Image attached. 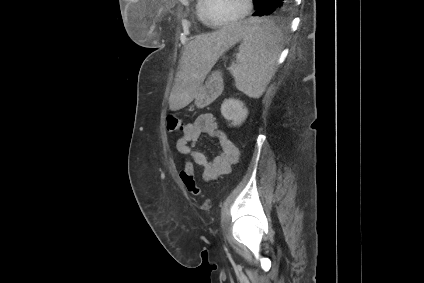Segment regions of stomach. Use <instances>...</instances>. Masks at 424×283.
Wrapping results in <instances>:
<instances>
[{"label": "stomach", "instance_id": "stomach-1", "mask_svg": "<svg viewBox=\"0 0 424 283\" xmlns=\"http://www.w3.org/2000/svg\"><path fill=\"white\" fill-rule=\"evenodd\" d=\"M219 73L214 72L212 73L206 80L205 82H203L199 88V90L197 91L196 96L194 97V103L196 106L198 107H203L206 105V102L204 101V97L205 95L209 92V90L211 89V87L217 83V78H218Z\"/></svg>", "mask_w": 424, "mask_h": 283}]
</instances>
